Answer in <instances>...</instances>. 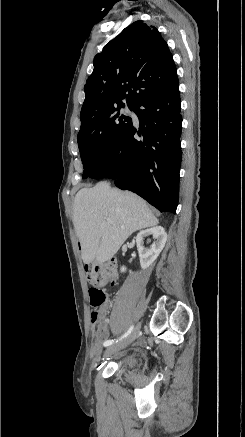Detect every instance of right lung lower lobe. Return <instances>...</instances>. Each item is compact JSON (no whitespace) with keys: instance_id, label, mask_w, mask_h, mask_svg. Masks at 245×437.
<instances>
[{"instance_id":"obj_1","label":"right lung lower lobe","mask_w":245,"mask_h":437,"mask_svg":"<svg viewBox=\"0 0 245 437\" xmlns=\"http://www.w3.org/2000/svg\"><path fill=\"white\" fill-rule=\"evenodd\" d=\"M179 85L138 101L139 118L126 128L110 156L89 176L109 178L123 190L135 192L160 212L175 214L182 159Z\"/></svg>"}]
</instances>
